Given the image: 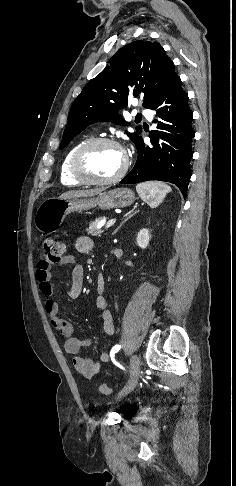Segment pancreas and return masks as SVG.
Listing matches in <instances>:
<instances>
[{"mask_svg": "<svg viewBox=\"0 0 236 486\" xmlns=\"http://www.w3.org/2000/svg\"><path fill=\"white\" fill-rule=\"evenodd\" d=\"M104 218L102 217H99V218H96L93 222H91L89 224V227L86 228V232L87 234L89 235H92V236H100L101 233L103 232L102 229H99L97 226L98 224L103 220Z\"/></svg>", "mask_w": 236, "mask_h": 486, "instance_id": "cf45deb5", "label": "pancreas"}]
</instances>
